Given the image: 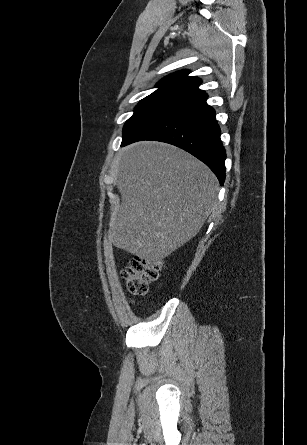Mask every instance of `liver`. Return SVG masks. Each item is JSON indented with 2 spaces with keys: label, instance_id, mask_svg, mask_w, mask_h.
I'll use <instances>...</instances> for the list:
<instances>
[{
  "label": "liver",
  "instance_id": "6515ba94",
  "mask_svg": "<svg viewBox=\"0 0 307 445\" xmlns=\"http://www.w3.org/2000/svg\"><path fill=\"white\" fill-rule=\"evenodd\" d=\"M117 186L122 202L110 220L109 241L146 263L162 261L196 237L217 204L212 170L166 142L123 148Z\"/></svg>",
  "mask_w": 307,
  "mask_h": 445
}]
</instances>
